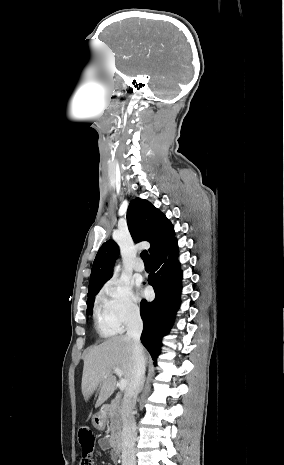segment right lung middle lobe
Listing matches in <instances>:
<instances>
[{
    "label": "right lung middle lobe",
    "mask_w": 284,
    "mask_h": 465,
    "mask_svg": "<svg viewBox=\"0 0 284 465\" xmlns=\"http://www.w3.org/2000/svg\"><path fill=\"white\" fill-rule=\"evenodd\" d=\"M96 294H97V293L88 296V300H87V314H88V315H91V314H92L93 303H94V296H95Z\"/></svg>",
    "instance_id": "obj_1"
}]
</instances>
